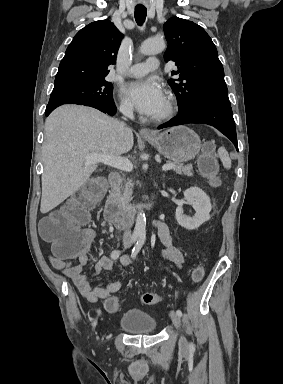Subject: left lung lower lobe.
Instances as JSON below:
<instances>
[{
    "label": "left lung lower lobe",
    "mask_w": 283,
    "mask_h": 384,
    "mask_svg": "<svg viewBox=\"0 0 283 384\" xmlns=\"http://www.w3.org/2000/svg\"><path fill=\"white\" fill-rule=\"evenodd\" d=\"M188 123H204L214 126L227 136L238 150L230 102H214L195 106L185 112L178 113V115L170 121L158 126V129Z\"/></svg>",
    "instance_id": "1"
}]
</instances>
